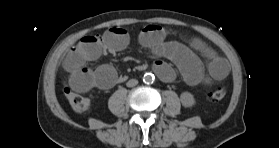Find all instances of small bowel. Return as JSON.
Wrapping results in <instances>:
<instances>
[{
	"label": "small bowel",
	"mask_w": 279,
	"mask_h": 148,
	"mask_svg": "<svg viewBox=\"0 0 279 148\" xmlns=\"http://www.w3.org/2000/svg\"><path fill=\"white\" fill-rule=\"evenodd\" d=\"M167 35L168 31L164 27L155 24L145 26L139 34L141 46L160 58L153 68L163 81H173L175 73L162 59L173 62L185 82L192 86L220 81L228 75L229 69L225 60L202 40L192 37L188 40V45H185L177 41H167ZM128 43V32L117 26L109 28L101 35L81 38L63 58V66L69 73L70 86L79 92L92 88H113L121 80L113 66L103 64L96 70H91L87 64L103 54H116L125 49ZM198 54L206 59V64Z\"/></svg>",
	"instance_id": "1"
}]
</instances>
